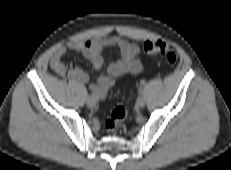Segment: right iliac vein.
I'll return each instance as SVG.
<instances>
[{"label":"right iliac vein","mask_w":231,"mask_h":170,"mask_svg":"<svg viewBox=\"0 0 231 170\" xmlns=\"http://www.w3.org/2000/svg\"><path fill=\"white\" fill-rule=\"evenodd\" d=\"M86 104L90 108H94L96 106V100L92 97H88L86 100Z\"/></svg>","instance_id":"obj_1"}]
</instances>
